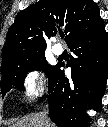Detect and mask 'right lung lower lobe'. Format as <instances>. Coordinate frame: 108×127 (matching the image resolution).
Instances as JSON below:
<instances>
[{"mask_svg":"<svg viewBox=\"0 0 108 127\" xmlns=\"http://www.w3.org/2000/svg\"><path fill=\"white\" fill-rule=\"evenodd\" d=\"M68 47L74 53L67 67L72 79L56 65L49 77L47 97L50 118L58 127H85V110H99L107 82L108 36L101 18L75 35Z\"/></svg>","mask_w":108,"mask_h":127,"instance_id":"1","label":"right lung lower lobe"}]
</instances>
